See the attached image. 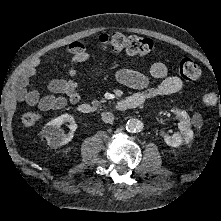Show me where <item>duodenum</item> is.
Listing matches in <instances>:
<instances>
[{
    "mask_svg": "<svg viewBox=\"0 0 221 221\" xmlns=\"http://www.w3.org/2000/svg\"><path fill=\"white\" fill-rule=\"evenodd\" d=\"M144 102H145L144 97L135 94V95L126 97V98L118 101L116 104V108L119 111H125V110H129V109L138 107V106L142 105ZM78 111L82 114L88 115V114H92L94 109L90 104L82 103L79 105Z\"/></svg>",
    "mask_w": 221,
    "mask_h": 221,
    "instance_id": "410a0bca",
    "label": "duodenum"
}]
</instances>
